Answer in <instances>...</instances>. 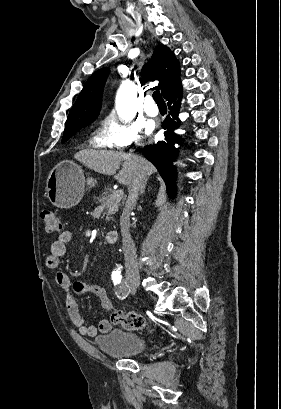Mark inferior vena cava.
<instances>
[{
    "instance_id": "obj_1",
    "label": "inferior vena cava",
    "mask_w": 281,
    "mask_h": 409,
    "mask_svg": "<svg viewBox=\"0 0 281 409\" xmlns=\"http://www.w3.org/2000/svg\"><path fill=\"white\" fill-rule=\"evenodd\" d=\"M134 176L128 186L130 200H136L138 192L144 182L145 172L143 170L144 162L141 158H134ZM130 213L131 209H127L120 219L125 267L126 281H139V269L137 265L136 249L131 239L130 231Z\"/></svg>"
}]
</instances>
